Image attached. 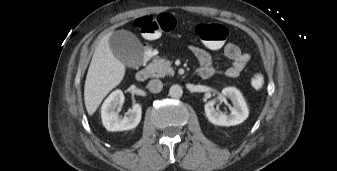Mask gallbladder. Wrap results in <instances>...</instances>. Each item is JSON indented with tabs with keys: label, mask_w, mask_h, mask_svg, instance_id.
Masks as SVG:
<instances>
[{
	"label": "gallbladder",
	"mask_w": 337,
	"mask_h": 171,
	"mask_svg": "<svg viewBox=\"0 0 337 171\" xmlns=\"http://www.w3.org/2000/svg\"><path fill=\"white\" fill-rule=\"evenodd\" d=\"M109 44L113 54L125 65L138 68L143 60V48L131 32L120 30L112 33Z\"/></svg>",
	"instance_id": "obj_1"
}]
</instances>
